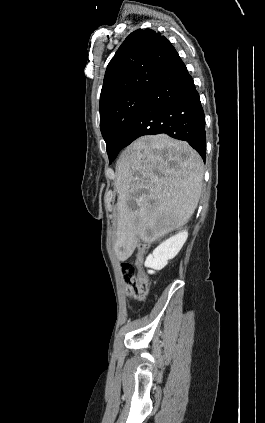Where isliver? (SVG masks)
<instances>
[{"instance_id":"1","label":"liver","mask_w":265,"mask_h":423,"mask_svg":"<svg viewBox=\"0 0 265 423\" xmlns=\"http://www.w3.org/2000/svg\"><path fill=\"white\" fill-rule=\"evenodd\" d=\"M203 173L200 155L166 134L140 137L121 153L113 246L119 261L133 254L139 240L153 242L188 222L199 202Z\"/></svg>"}]
</instances>
